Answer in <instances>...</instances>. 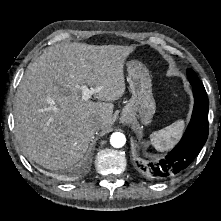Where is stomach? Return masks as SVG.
<instances>
[{
  "instance_id": "stomach-1",
  "label": "stomach",
  "mask_w": 221,
  "mask_h": 221,
  "mask_svg": "<svg viewBox=\"0 0 221 221\" xmlns=\"http://www.w3.org/2000/svg\"><path fill=\"white\" fill-rule=\"evenodd\" d=\"M128 83L132 97L121 113V121L138 116L144 125L151 123L156 111V103L152 94V79L146 66L139 61L127 64Z\"/></svg>"
}]
</instances>
